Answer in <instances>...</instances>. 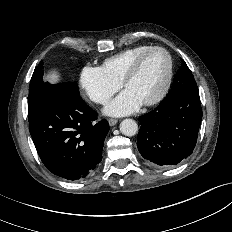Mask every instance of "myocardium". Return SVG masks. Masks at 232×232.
Masks as SVG:
<instances>
[{"mask_svg": "<svg viewBox=\"0 0 232 232\" xmlns=\"http://www.w3.org/2000/svg\"><path fill=\"white\" fill-rule=\"evenodd\" d=\"M155 51H161L167 56L168 72H167L166 80H165L164 85H163L162 89L160 90V92L154 98L142 103L144 106H153V105L160 103L165 98V96L167 95V93L171 87L173 76H174V63H173V58L167 49L160 47V46H153V47H150L147 50L141 52L132 61V63L130 64L129 68L127 69V71L124 74V76L121 80V83H120V86L125 89L126 85L137 74V72H138L143 60L145 59V57L148 56L149 54L155 52Z\"/></svg>", "mask_w": 232, "mask_h": 232, "instance_id": "myocardium-1", "label": "myocardium"}]
</instances>
